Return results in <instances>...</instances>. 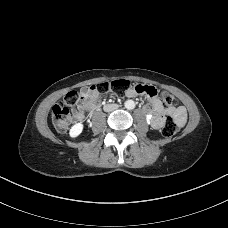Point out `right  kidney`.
I'll return each instance as SVG.
<instances>
[{
  "label": "right kidney",
  "mask_w": 228,
  "mask_h": 228,
  "mask_svg": "<svg viewBox=\"0 0 228 228\" xmlns=\"http://www.w3.org/2000/svg\"><path fill=\"white\" fill-rule=\"evenodd\" d=\"M83 128L84 126L82 123H76L75 125H73L69 132L70 137L76 138L77 136H79L82 133Z\"/></svg>",
  "instance_id": "obj_1"
}]
</instances>
